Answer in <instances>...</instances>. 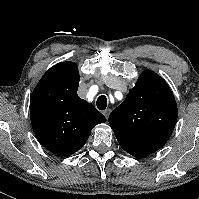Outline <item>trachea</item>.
I'll use <instances>...</instances> for the list:
<instances>
[{"label": "trachea", "instance_id": "trachea-1", "mask_svg": "<svg viewBox=\"0 0 199 199\" xmlns=\"http://www.w3.org/2000/svg\"><path fill=\"white\" fill-rule=\"evenodd\" d=\"M96 104H97V108L99 110H105L106 107H107V98H106V96L105 95H100L98 97V99H97Z\"/></svg>", "mask_w": 199, "mask_h": 199}]
</instances>
